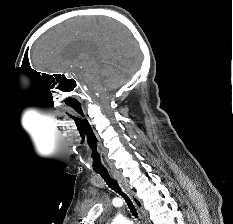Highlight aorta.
Masks as SVG:
<instances>
[{"label":"aorta","mask_w":233,"mask_h":224,"mask_svg":"<svg viewBox=\"0 0 233 224\" xmlns=\"http://www.w3.org/2000/svg\"><path fill=\"white\" fill-rule=\"evenodd\" d=\"M112 224H133V222L130 221L129 219L122 217V216H117L113 220Z\"/></svg>","instance_id":"aorta-1"}]
</instances>
